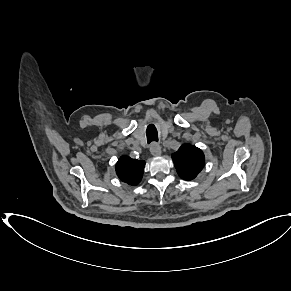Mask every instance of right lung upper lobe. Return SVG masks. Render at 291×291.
<instances>
[{
	"label": "right lung upper lobe",
	"mask_w": 291,
	"mask_h": 291,
	"mask_svg": "<svg viewBox=\"0 0 291 291\" xmlns=\"http://www.w3.org/2000/svg\"><path fill=\"white\" fill-rule=\"evenodd\" d=\"M145 162L122 156L116 163V173L120 180L129 184L137 185L143 176Z\"/></svg>",
	"instance_id": "right-lung-upper-lobe-1"
}]
</instances>
